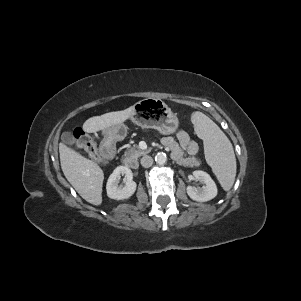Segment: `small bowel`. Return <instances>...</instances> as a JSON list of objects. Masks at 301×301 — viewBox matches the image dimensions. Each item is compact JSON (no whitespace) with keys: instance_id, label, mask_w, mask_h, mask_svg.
Wrapping results in <instances>:
<instances>
[{"instance_id":"1","label":"small bowel","mask_w":301,"mask_h":301,"mask_svg":"<svg viewBox=\"0 0 301 301\" xmlns=\"http://www.w3.org/2000/svg\"><path fill=\"white\" fill-rule=\"evenodd\" d=\"M176 140L171 137L163 139L164 145L170 150L172 157L182 163L187 164L189 158L198 153V144L191 140L190 136L184 130L176 132Z\"/></svg>"}]
</instances>
